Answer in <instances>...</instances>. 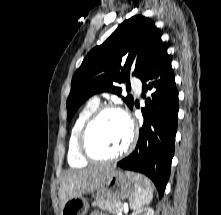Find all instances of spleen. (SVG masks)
<instances>
[{"mask_svg":"<svg viewBox=\"0 0 221 215\" xmlns=\"http://www.w3.org/2000/svg\"><path fill=\"white\" fill-rule=\"evenodd\" d=\"M152 198L153 188L151 182L145 177L143 179L136 177L135 189L130 197V207L133 210H139L143 206L148 205Z\"/></svg>","mask_w":221,"mask_h":215,"instance_id":"1","label":"spleen"}]
</instances>
